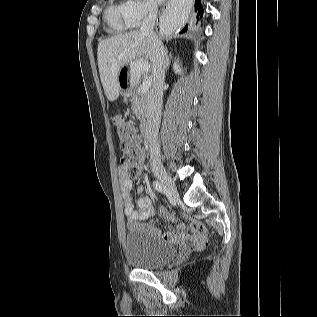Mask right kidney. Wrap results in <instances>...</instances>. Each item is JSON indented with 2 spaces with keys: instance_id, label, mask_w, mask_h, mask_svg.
<instances>
[{
  "instance_id": "obj_1",
  "label": "right kidney",
  "mask_w": 317,
  "mask_h": 317,
  "mask_svg": "<svg viewBox=\"0 0 317 317\" xmlns=\"http://www.w3.org/2000/svg\"><path fill=\"white\" fill-rule=\"evenodd\" d=\"M179 59H177L175 62H174V65H173V69L175 71V73H181V69L179 67Z\"/></svg>"
}]
</instances>
